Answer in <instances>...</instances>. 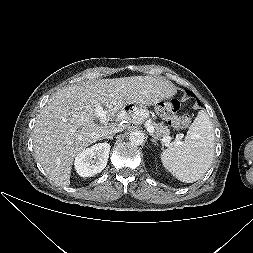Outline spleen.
<instances>
[{
	"mask_svg": "<svg viewBox=\"0 0 253 253\" xmlns=\"http://www.w3.org/2000/svg\"><path fill=\"white\" fill-rule=\"evenodd\" d=\"M214 130L208 114L198 112L184 142L177 141L161 154L163 166L178 180L193 183L202 178L214 157Z\"/></svg>",
	"mask_w": 253,
	"mask_h": 253,
	"instance_id": "1",
	"label": "spleen"
}]
</instances>
